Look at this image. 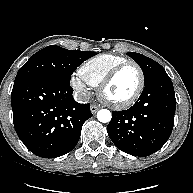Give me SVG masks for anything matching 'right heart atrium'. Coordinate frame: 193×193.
<instances>
[{"mask_svg": "<svg viewBox=\"0 0 193 193\" xmlns=\"http://www.w3.org/2000/svg\"><path fill=\"white\" fill-rule=\"evenodd\" d=\"M70 84L83 99H87L90 96L91 89L79 74L73 73L71 75Z\"/></svg>", "mask_w": 193, "mask_h": 193, "instance_id": "1", "label": "right heart atrium"}]
</instances>
